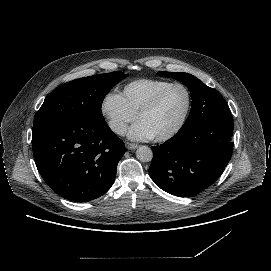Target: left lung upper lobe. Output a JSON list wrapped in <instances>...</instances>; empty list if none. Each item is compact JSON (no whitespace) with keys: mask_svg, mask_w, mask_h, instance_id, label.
<instances>
[{"mask_svg":"<svg viewBox=\"0 0 271 271\" xmlns=\"http://www.w3.org/2000/svg\"><path fill=\"white\" fill-rule=\"evenodd\" d=\"M161 77L174 78L183 82L191 91L192 107L182 127H189L198 121L211 118L232 119L225 100L215 89L206 86L195 76L183 72H158Z\"/></svg>","mask_w":271,"mask_h":271,"instance_id":"1","label":"left lung upper lobe"}]
</instances>
